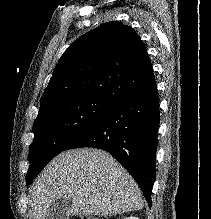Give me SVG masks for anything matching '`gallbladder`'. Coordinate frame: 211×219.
<instances>
[{"mask_svg": "<svg viewBox=\"0 0 211 219\" xmlns=\"http://www.w3.org/2000/svg\"><path fill=\"white\" fill-rule=\"evenodd\" d=\"M72 207L69 200L60 199L51 204L45 219H64L65 213Z\"/></svg>", "mask_w": 211, "mask_h": 219, "instance_id": "gallbladder-1", "label": "gallbladder"}]
</instances>
